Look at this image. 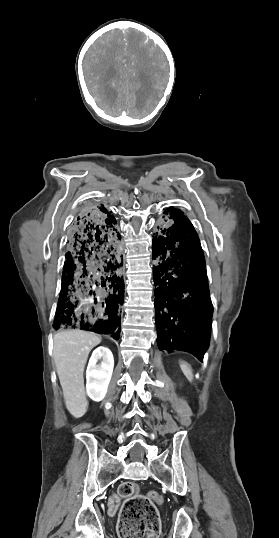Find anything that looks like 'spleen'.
<instances>
[{"label": "spleen", "mask_w": 279, "mask_h": 538, "mask_svg": "<svg viewBox=\"0 0 279 538\" xmlns=\"http://www.w3.org/2000/svg\"><path fill=\"white\" fill-rule=\"evenodd\" d=\"M183 374H185L186 378H188V380H193V374H192V370H191V366H189V364H186V362H183V364H181L180 366Z\"/></svg>", "instance_id": "obj_1"}]
</instances>
